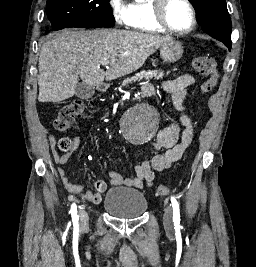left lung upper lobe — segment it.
<instances>
[{"label":"left lung upper lobe","instance_id":"obj_1","mask_svg":"<svg viewBox=\"0 0 256 267\" xmlns=\"http://www.w3.org/2000/svg\"><path fill=\"white\" fill-rule=\"evenodd\" d=\"M204 32L222 41L231 50V20L225 0H189Z\"/></svg>","mask_w":256,"mask_h":267}]
</instances>
